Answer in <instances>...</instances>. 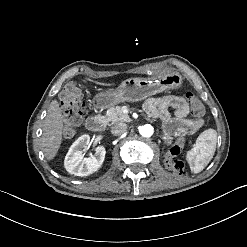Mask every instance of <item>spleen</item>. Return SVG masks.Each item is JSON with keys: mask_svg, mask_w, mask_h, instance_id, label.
Here are the masks:
<instances>
[{"mask_svg": "<svg viewBox=\"0 0 247 247\" xmlns=\"http://www.w3.org/2000/svg\"><path fill=\"white\" fill-rule=\"evenodd\" d=\"M217 132L214 129H207L197 139V144L187 152L186 159L194 173L201 172L209 163L215 151ZM203 143V148L200 144Z\"/></svg>", "mask_w": 247, "mask_h": 247, "instance_id": "3e777b00", "label": "spleen"}]
</instances>
